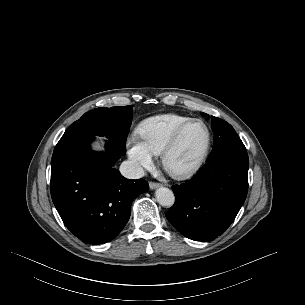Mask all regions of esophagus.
I'll use <instances>...</instances> for the list:
<instances>
[{
  "label": "esophagus",
  "mask_w": 305,
  "mask_h": 305,
  "mask_svg": "<svg viewBox=\"0 0 305 305\" xmlns=\"http://www.w3.org/2000/svg\"><path fill=\"white\" fill-rule=\"evenodd\" d=\"M160 186H161V184L158 183V182H150V183H149L150 189H156V188H158V187H160Z\"/></svg>",
  "instance_id": "34e87169"
}]
</instances>
